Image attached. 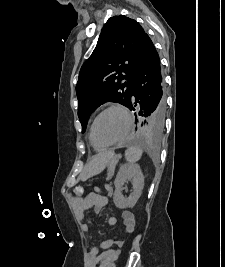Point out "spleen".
<instances>
[{
	"mask_svg": "<svg viewBox=\"0 0 225 267\" xmlns=\"http://www.w3.org/2000/svg\"><path fill=\"white\" fill-rule=\"evenodd\" d=\"M142 153H143L142 149L138 147H129L126 150L125 158L127 162H129L130 164H134L140 160Z\"/></svg>",
	"mask_w": 225,
	"mask_h": 267,
	"instance_id": "obj_1",
	"label": "spleen"
}]
</instances>
